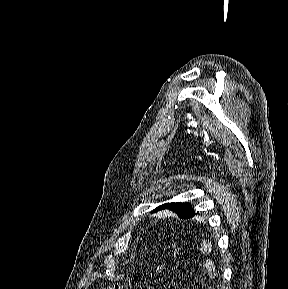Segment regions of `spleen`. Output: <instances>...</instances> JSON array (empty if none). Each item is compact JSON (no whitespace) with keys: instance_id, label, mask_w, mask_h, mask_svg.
<instances>
[{"instance_id":"obj_1","label":"spleen","mask_w":288,"mask_h":289,"mask_svg":"<svg viewBox=\"0 0 288 289\" xmlns=\"http://www.w3.org/2000/svg\"><path fill=\"white\" fill-rule=\"evenodd\" d=\"M206 268H208L210 270H214L215 269V266H214L212 260H207L206 261Z\"/></svg>"}]
</instances>
